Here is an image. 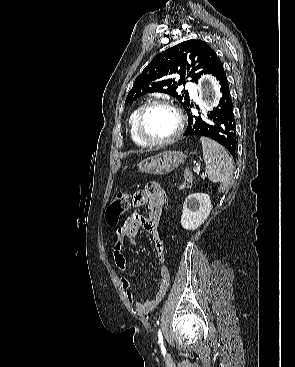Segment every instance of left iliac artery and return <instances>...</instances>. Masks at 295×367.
<instances>
[{"label":"left iliac artery","mask_w":295,"mask_h":367,"mask_svg":"<svg viewBox=\"0 0 295 367\" xmlns=\"http://www.w3.org/2000/svg\"><path fill=\"white\" fill-rule=\"evenodd\" d=\"M158 343L163 347V336L160 329L158 330Z\"/></svg>","instance_id":"44dca946"}]
</instances>
